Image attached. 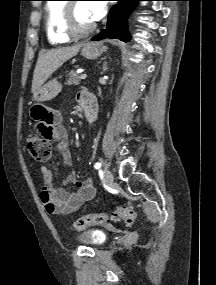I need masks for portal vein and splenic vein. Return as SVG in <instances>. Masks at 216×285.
I'll return each instance as SVG.
<instances>
[{
  "label": "portal vein and splenic vein",
  "instance_id": "1",
  "mask_svg": "<svg viewBox=\"0 0 216 285\" xmlns=\"http://www.w3.org/2000/svg\"><path fill=\"white\" fill-rule=\"evenodd\" d=\"M80 78L83 79V80L86 79L87 78V74H82Z\"/></svg>",
  "mask_w": 216,
  "mask_h": 285
}]
</instances>
